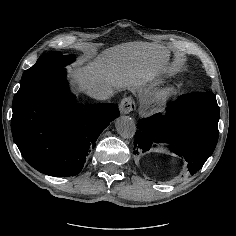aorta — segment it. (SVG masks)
I'll list each match as a JSON object with an SVG mask.
<instances>
[{
	"instance_id": "1",
	"label": "aorta",
	"mask_w": 236,
	"mask_h": 236,
	"mask_svg": "<svg viewBox=\"0 0 236 236\" xmlns=\"http://www.w3.org/2000/svg\"><path fill=\"white\" fill-rule=\"evenodd\" d=\"M115 127L117 132L124 138H132L136 132L134 120L128 116H121L116 120Z\"/></svg>"
}]
</instances>
